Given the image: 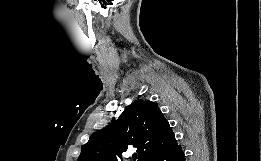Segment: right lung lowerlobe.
I'll list each match as a JSON object with an SVG mask.
<instances>
[{
  "instance_id": "98d812e1",
  "label": "right lung lower lobe",
  "mask_w": 261,
  "mask_h": 161,
  "mask_svg": "<svg viewBox=\"0 0 261 161\" xmlns=\"http://www.w3.org/2000/svg\"><path fill=\"white\" fill-rule=\"evenodd\" d=\"M146 161H185V156L181 146L176 144L169 149L154 153Z\"/></svg>"
}]
</instances>
